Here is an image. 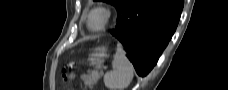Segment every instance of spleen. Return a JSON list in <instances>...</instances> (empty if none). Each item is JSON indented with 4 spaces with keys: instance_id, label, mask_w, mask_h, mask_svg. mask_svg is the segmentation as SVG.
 Wrapping results in <instances>:
<instances>
[{
    "instance_id": "1",
    "label": "spleen",
    "mask_w": 228,
    "mask_h": 90,
    "mask_svg": "<svg viewBox=\"0 0 228 90\" xmlns=\"http://www.w3.org/2000/svg\"><path fill=\"white\" fill-rule=\"evenodd\" d=\"M112 67L113 70L104 76L105 86L110 90H124L133 79L134 68L120 44L117 45Z\"/></svg>"
}]
</instances>
